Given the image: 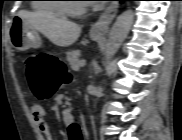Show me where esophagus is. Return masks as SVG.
I'll list each match as a JSON object with an SVG mask.
<instances>
[{
    "instance_id": "34e87169",
    "label": "esophagus",
    "mask_w": 182,
    "mask_h": 140,
    "mask_svg": "<svg viewBox=\"0 0 182 140\" xmlns=\"http://www.w3.org/2000/svg\"><path fill=\"white\" fill-rule=\"evenodd\" d=\"M118 8V1H111L100 15L99 19L92 25L91 33L95 35H105L118 12Z\"/></svg>"
}]
</instances>
